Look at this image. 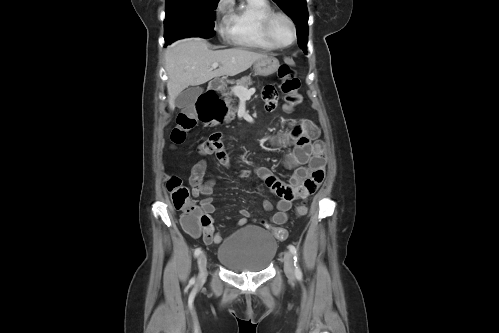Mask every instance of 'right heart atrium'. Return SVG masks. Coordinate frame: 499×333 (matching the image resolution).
<instances>
[{
    "mask_svg": "<svg viewBox=\"0 0 499 333\" xmlns=\"http://www.w3.org/2000/svg\"><path fill=\"white\" fill-rule=\"evenodd\" d=\"M216 29L223 38L228 37V6L225 0H220L215 11Z\"/></svg>",
    "mask_w": 499,
    "mask_h": 333,
    "instance_id": "obj_1",
    "label": "right heart atrium"
}]
</instances>
